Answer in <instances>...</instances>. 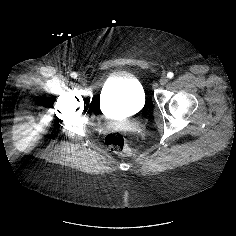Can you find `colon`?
I'll return each instance as SVG.
<instances>
[{
    "label": "colon",
    "instance_id": "obj_1",
    "mask_svg": "<svg viewBox=\"0 0 236 236\" xmlns=\"http://www.w3.org/2000/svg\"><path fill=\"white\" fill-rule=\"evenodd\" d=\"M105 144L113 152L128 156L131 150L128 147L124 136L119 132H111L105 138Z\"/></svg>",
    "mask_w": 236,
    "mask_h": 236
}]
</instances>
